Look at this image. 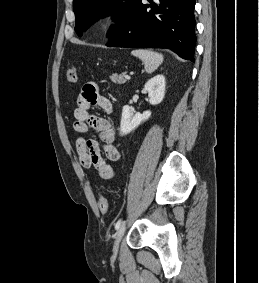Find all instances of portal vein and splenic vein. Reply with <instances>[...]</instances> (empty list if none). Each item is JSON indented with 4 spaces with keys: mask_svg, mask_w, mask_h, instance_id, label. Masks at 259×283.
<instances>
[{
    "mask_svg": "<svg viewBox=\"0 0 259 283\" xmlns=\"http://www.w3.org/2000/svg\"><path fill=\"white\" fill-rule=\"evenodd\" d=\"M125 78H126V79H130V76H129V75H125Z\"/></svg>",
    "mask_w": 259,
    "mask_h": 283,
    "instance_id": "18ae733b",
    "label": "portal vein and splenic vein"
}]
</instances>
